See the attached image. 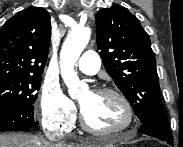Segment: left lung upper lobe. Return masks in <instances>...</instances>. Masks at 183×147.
Masks as SVG:
<instances>
[{"instance_id":"left-lung-upper-lobe-1","label":"left lung upper lobe","mask_w":183,"mask_h":147,"mask_svg":"<svg viewBox=\"0 0 183 147\" xmlns=\"http://www.w3.org/2000/svg\"><path fill=\"white\" fill-rule=\"evenodd\" d=\"M96 27L104 67L141 123H168L155 55L139 20L124 7L113 5L96 14Z\"/></svg>"}]
</instances>
